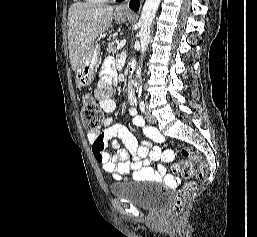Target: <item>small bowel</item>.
<instances>
[{"label":"small bowel","mask_w":257,"mask_h":237,"mask_svg":"<svg viewBox=\"0 0 257 237\" xmlns=\"http://www.w3.org/2000/svg\"><path fill=\"white\" fill-rule=\"evenodd\" d=\"M116 82L115 64L111 58L104 61L94 97L99 101L105 113L116 110V102L110 97ZM133 123L141 128L151 140L163 145L152 146L150 142L138 143L134 135L122 124H115L111 118L103 121L105 128L98 132H89L87 139L92 145L95 159L113 179L119 180L123 175L132 172L135 180L165 181L177 185L181 179L166 173L164 166L156 169L150 167L151 162L163 159L171 161L172 151L166 146L165 137L155 128L146 126L142 117L136 115L134 107L130 109ZM119 139L123 147L115 144ZM110 143L114 144L115 152L108 150Z\"/></svg>","instance_id":"c3829d8e"}]
</instances>
